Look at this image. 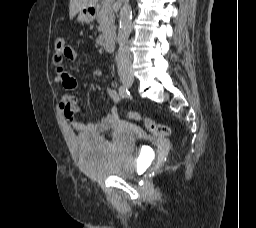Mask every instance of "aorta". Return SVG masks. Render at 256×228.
<instances>
[{
    "label": "aorta",
    "mask_w": 256,
    "mask_h": 228,
    "mask_svg": "<svg viewBox=\"0 0 256 228\" xmlns=\"http://www.w3.org/2000/svg\"><path fill=\"white\" fill-rule=\"evenodd\" d=\"M131 5L129 0H125V3L120 11V29L118 32V43H126L131 32Z\"/></svg>",
    "instance_id": "1"
}]
</instances>
